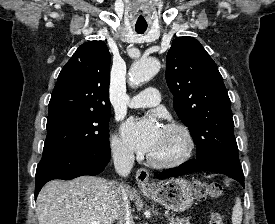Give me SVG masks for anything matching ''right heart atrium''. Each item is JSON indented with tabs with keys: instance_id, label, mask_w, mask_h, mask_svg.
<instances>
[{
	"instance_id": "obj_1",
	"label": "right heart atrium",
	"mask_w": 275,
	"mask_h": 224,
	"mask_svg": "<svg viewBox=\"0 0 275 224\" xmlns=\"http://www.w3.org/2000/svg\"><path fill=\"white\" fill-rule=\"evenodd\" d=\"M111 150L113 154L120 159H129L131 152L118 135H114L111 139Z\"/></svg>"
}]
</instances>
